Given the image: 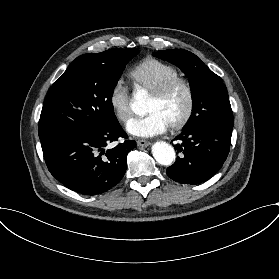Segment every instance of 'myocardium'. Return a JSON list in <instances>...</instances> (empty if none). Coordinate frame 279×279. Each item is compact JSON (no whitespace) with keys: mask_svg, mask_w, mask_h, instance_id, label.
<instances>
[{"mask_svg":"<svg viewBox=\"0 0 279 279\" xmlns=\"http://www.w3.org/2000/svg\"><path fill=\"white\" fill-rule=\"evenodd\" d=\"M178 86H183L187 93V106L184 115L176 122L170 125L174 130L182 129L191 120L195 108V91L191 81L185 77L177 76L168 79L161 84L154 92L152 97L162 99Z\"/></svg>","mask_w":279,"mask_h":279,"instance_id":"f54148a6","label":"myocardium"}]
</instances>
